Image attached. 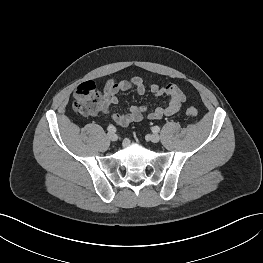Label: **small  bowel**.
<instances>
[{"instance_id":"small-bowel-1","label":"small bowel","mask_w":263,"mask_h":263,"mask_svg":"<svg viewBox=\"0 0 263 263\" xmlns=\"http://www.w3.org/2000/svg\"><path fill=\"white\" fill-rule=\"evenodd\" d=\"M147 88L156 97H166L168 99L167 103L153 111H149L146 105H140L131 106L127 112L109 115L111 105H116L120 102L119 94L121 92L135 90L137 94L144 95ZM185 100L186 95L184 92L174 84L162 86L156 83H147L139 76L128 80L108 79L93 115L107 117L118 126L125 127L131 123L140 122L144 118L159 120L164 116H172L180 111Z\"/></svg>"}]
</instances>
